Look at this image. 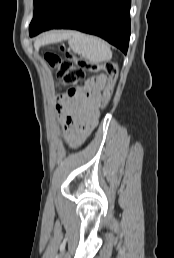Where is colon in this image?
<instances>
[{
    "label": "colon",
    "instance_id": "colon-1",
    "mask_svg": "<svg viewBox=\"0 0 174 258\" xmlns=\"http://www.w3.org/2000/svg\"><path fill=\"white\" fill-rule=\"evenodd\" d=\"M45 60L55 71L59 82L68 87L67 93L71 96L77 94V85L85 78L87 72H105L108 82L102 94L101 104L103 107L109 104L118 81L119 66L117 62L109 60L97 64L76 57L70 52H66L65 57L56 52H48L45 54Z\"/></svg>",
    "mask_w": 174,
    "mask_h": 258
}]
</instances>
